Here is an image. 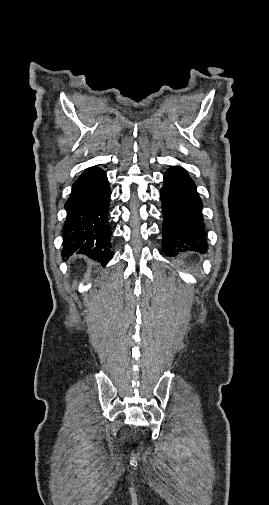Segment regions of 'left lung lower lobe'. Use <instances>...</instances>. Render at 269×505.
<instances>
[{
	"label": "left lung lower lobe",
	"mask_w": 269,
	"mask_h": 505,
	"mask_svg": "<svg viewBox=\"0 0 269 505\" xmlns=\"http://www.w3.org/2000/svg\"><path fill=\"white\" fill-rule=\"evenodd\" d=\"M163 208V252L207 250L202 202L185 170L171 167L164 174L160 193Z\"/></svg>",
	"instance_id": "0a47b994"
}]
</instances>
